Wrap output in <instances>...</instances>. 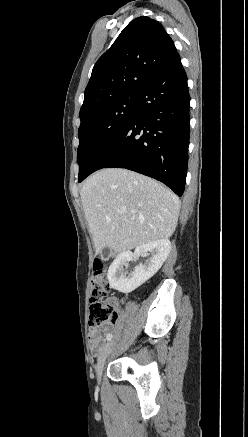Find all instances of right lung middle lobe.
<instances>
[{
    "label": "right lung middle lobe",
    "instance_id": "1",
    "mask_svg": "<svg viewBox=\"0 0 248 437\" xmlns=\"http://www.w3.org/2000/svg\"><path fill=\"white\" fill-rule=\"evenodd\" d=\"M135 102L136 96L121 97L81 121L78 131V181L90 171L94 159L124 127L133 114Z\"/></svg>",
    "mask_w": 248,
    "mask_h": 437
}]
</instances>
